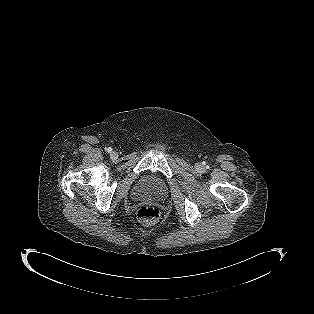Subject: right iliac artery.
<instances>
[{"instance_id": "obj_1", "label": "right iliac artery", "mask_w": 314, "mask_h": 314, "mask_svg": "<svg viewBox=\"0 0 314 314\" xmlns=\"http://www.w3.org/2000/svg\"><path fill=\"white\" fill-rule=\"evenodd\" d=\"M106 151H107V152H111V151H112V148H111V147H108V148L106 149Z\"/></svg>"}]
</instances>
